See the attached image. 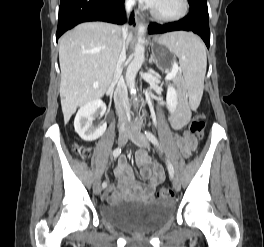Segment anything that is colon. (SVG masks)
Here are the masks:
<instances>
[{"label": "colon", "mask_w": 264, "mask_h": 247, "mask_svg": "<svg viewBox=\"0 0 264 247\" xmlns=\"http://www.w3.org/2000/svg\"><path fill=\"white\" fill-rule=\"evenodd\" d=\"M204 129H205V116L203 114H196L190 123V131L194 135L198 137H202ZM75 150L84 157L88 156L89 154L88 149L79 146H76ZM172 195L173 193L169 188L163 187L157 191V196L159 199H169L170 197H172Z\"/></svg>", "instance_id": "colon-1"}]
</instances>
